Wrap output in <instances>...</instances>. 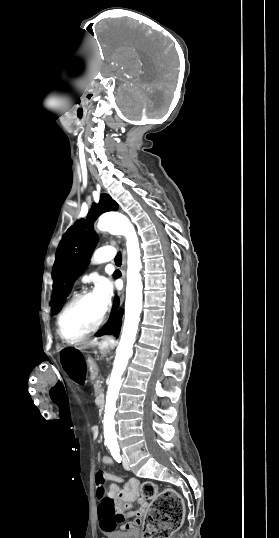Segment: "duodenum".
I'll return each instance as SVG.
<instances>
[{
	"label": "duodenum",
	"mask_w": 279,
	"mask_h": 538,
	"mask_svg": "<svg viewBox=\"0 0 279 538\" xmlns=\"http://www.w3.org/2000/svg\"><path fill=\"white\" fill-rule=\"evenodd\" d=\"M96 369H97V366H92L91 368L92 377L90 378V381L92 383H95L97 381V377L99 376V373L96 371ZM96 400H97L96 405L98 407L105 406V401H103V396L98 395L96 397Z\"/></svg>",
	"instance_id": "duodenum-1"
}]
</instances>
